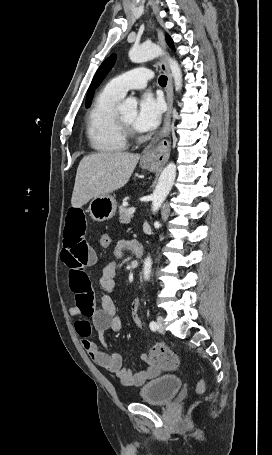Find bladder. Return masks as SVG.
I'll return each instance as SVG.
<instances>
[{"label":"bladder","instance_id":"bladder-1","mask_svg":"<svg viewBox=\"0 0 272 455\" xmlns=\"http://www.w3.org/2000/svg\"><path fill=\"white\" fill-rule=\"evenodd\" d=\"M182 386V380L175 374H163L139 389L141 401L152 405H164L172 400Z\"/></svg>","mask_w":272,"mask_h":455}]
</instances>
